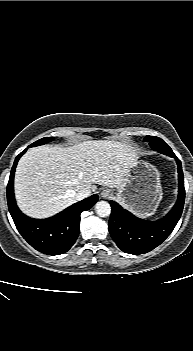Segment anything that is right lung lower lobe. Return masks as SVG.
Segmentation results:
<instances>
[{
  "label": "right lung lower lobe",
  "mask_w": 193,
  "mask_h": 351,
  "mask_svg": "<svg viewBox=\"0 0 193 351\" xmlns=\"http://www.w3.org/2000/svg\"><path fill=\"white\" fill-rule=\"evenodd\" d=\"M22 151L15 159L7 185V202L12 219L22 237L36 250L47 255L67 252L80 232V214L89 210L98 200L92 195L48 219H33L24 215L16 205L14 197V173Z\"/></svg>",
  "instance_id": "1"
}]
</instances>
